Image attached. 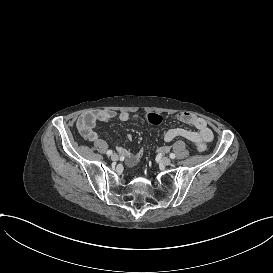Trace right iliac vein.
Here are the masks:
<instances>
[{
    "instance_id": "1",
    "label": "right iliac vein",
    "mask_w": 273,
    "mask_h": 273,
    "mask_svg": "<svg viewBox=\"0 0 273 273\" xmlns=\"http://www.w3.org/2000/svg\"><path fill=\"white\" fill-rule=\"evenodd\" d=\"M118 159H119V156L117 154L114 153V154L111 155V160L112 161H117Z\"/></svg>"
}]
</instances>
